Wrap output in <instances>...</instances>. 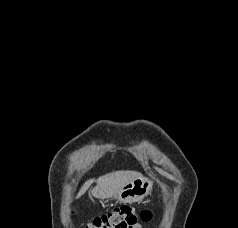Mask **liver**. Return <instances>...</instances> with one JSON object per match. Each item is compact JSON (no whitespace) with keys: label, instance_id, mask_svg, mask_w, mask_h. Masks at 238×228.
Wrapping results in <instances>:
<instances>
[{"label":"liver","instance_id":"6515ba94","mask_svg":"<svg viewBox=\"0 0 238 228\" xmlns=\"http://www.w3.org/2000/svg\"><path fill=\"white\" fill-rule=\"evenodd\" d=\"M141 173L136 171H115L99 177L96 186L91 190V194L98 199L113 198L127 183L141 177ZM92 180L86 181L77 194L81 197L91 185Z\"/></svg>","mask_w":238,"mask_h":228}]
</instances>
